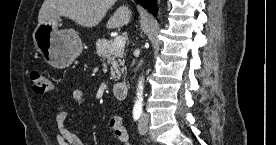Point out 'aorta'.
I'll return each mask as SVG.
<instances>
[{"instance_id":"aorta-1","label":"aorta","mask_w":276,"mask_h":145,"mask_svg":"<svg viewBox=\"0 0 276 145\" xmlns=\"http://www.w3.org/2000/svg\"><path fill=\"white\" fill-rule=\"evenodd\" d=\"M143 77L140 78V81L138 83V88H137V97H136V101H135V105L136 106H141L142 102H143Z\"/></svg>"}]
</instances>
